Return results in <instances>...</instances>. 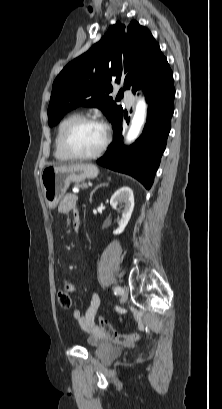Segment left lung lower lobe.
<instances>
[{
  "instance_id": "1",
  "label": "left lung lower lobe",
  "mask_w": 222,
  "mask_h": 409,
  "mask_svg": "<svg viewBox=\"0 0 222 409\" xmlns=\"http://www.w3.org/2000/svg\"><path fill=\"white\" fill-rule=\"evenodd\" d=\"M143 90L149 106L142 135L128 149L123 147L122 113L113 123L114 140L97 163L131 175L150 189L166 148L174 112L175 89L171 69L152 80Z\"/></svg>"
}]
</instances>
